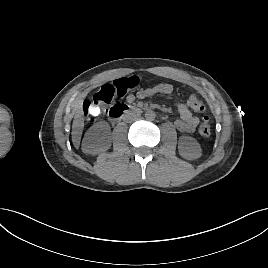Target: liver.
I'll list each match as a JSON object with an SVG mask.
<instances>
[{
    "label": "liver",
    "mask_w": 268,
    "mask_h": 268,
    "mask_svg": "<svg viewBox=\"0 0 268 268\" xmlns=\"http://www.w3.org/2000/svg\"><path fill=\"white\" fill-rule=\"evenodd\" d=\"M86 94H83L79 100V108L74 116L73 124H72V141L73 144L78 147L80 144L82 132L84 129V118L81 110V102L83 98H85Z\"/></svg>",
    "instance_id": "obj_1"
}]
</instances>
